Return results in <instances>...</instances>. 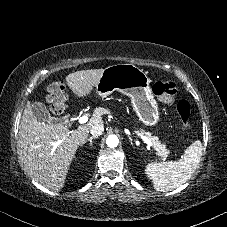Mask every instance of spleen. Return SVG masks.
Instances as JSON below:
<instances>
[{
  "label": "spleen",
  "mask_w": 227,
  "mask_h": 227,
  "mask_svg": "<svg viewBox=\"0 0 227 227\" xmlns=\"http://www.w3.org/2000/svg\"><path fill=\"white\" fill-rule=\"evenodd\" d=\"M202 151V143L197 140L178 161L149 163L145 172L152 180L154 189L160 192L170 191L188 181L200 163Z\"/></svg>",
  "instance_id": "obj_1"
}]
</instances>
